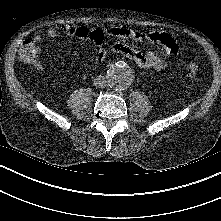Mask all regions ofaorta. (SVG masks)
Wrapping results in <instances>:
<instances>
[{"instance_id":"aorta-1","label":"aorta","mask_w":221,"mask_h":221,"mask_svg":"<svg viewBox=\"0 0 221 221\" xmlns=\"http://www.w3.org/2000/svg\"><path fill=\"white\" fill-rule=\"evenodd\" d=\"M107 80L111 88L124 90L131 85L133 72L125 62L118 61L108 67Z\"/></svg>"}]
</instances>
